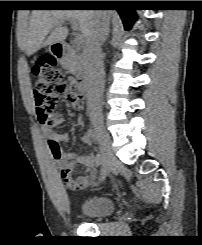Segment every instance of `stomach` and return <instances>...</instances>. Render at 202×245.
<instances>
[{
	"label": "stomach",
	"mask_w": 202,
	"mask_h": 245,
	"mask_svg": "<svg viewBox=\"0 0 202 245\" xmlns=\"http://www.w3.org/2000/svg\"><path fill=\"white\" fill-rule=\"evenodd\" d=\"M48 50L49 51H52V45L49 46Z\"/></svg>",
	"instance_id": "stomach-1"
}]
</instances>
